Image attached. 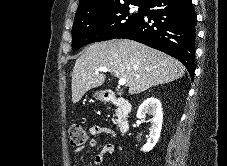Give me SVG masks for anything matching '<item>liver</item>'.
Listing matches in <instances>:
<instances>
[{
	"instance_id": "1",
	"label": "liver",
	"mask_w": 227,
	"mask_h": 166,
	"mask_svg": "<svg viewBox=\"0 0 227 166\" xmlns=\"http://www.w3.org/2000/svg\"><path fill=\"white\" fill-rule=\"evenodd\" d=\"M106 67L117 78L126 79L130 94L184 76L185 67L175 58L128 39H114L89 45L76 60L72 71V102L103 85L106 76L97 72Z\"/></svg>"
}]
</instances>
